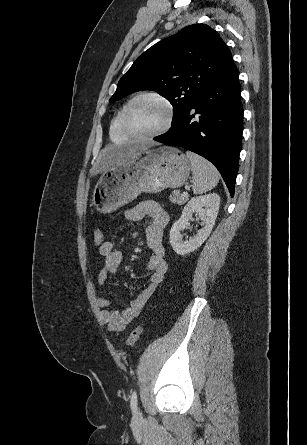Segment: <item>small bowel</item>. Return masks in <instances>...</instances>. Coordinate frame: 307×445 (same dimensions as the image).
<instances>
[{
  "label": "small bowel",
  "instance_id": "small-bowel-1",
  "mask_svg": "<svg viewBox=\"0 0 307 445\" xmlns=\"http://www.w3.org/2000/svg\"><path fill=\"white\" fill-rule=\"evenodd\" d=\"M145 222V235L151 256L147 262V269L152 273L146 287L141 290L130 302L129 306L119 311L111 307V301L106 296L98 298V304L103 308L102 320L108 329L114 333L122 332L126 326L137 318L149 298L163 281L167 271L165 249L162 243L165 227L168 223L166 211L156 202H142L125 212V219L132 222L143 220ZM101 269L97 280L100 285L106 286L111 275H116L122 261L121 251L115 249L113 242L107 241L99 248Z\"/></svg>",
  "mask_w": 307,
  "mask_h": 445
}]
</instances>
